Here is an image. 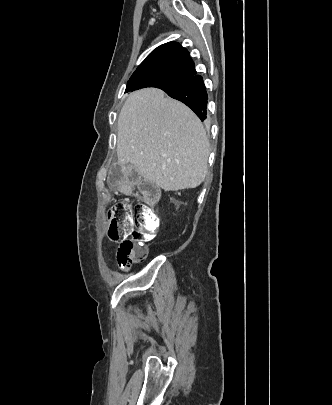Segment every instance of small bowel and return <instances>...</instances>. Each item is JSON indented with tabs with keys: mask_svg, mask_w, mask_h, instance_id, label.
<instances>
[{
	"mask_svg": "<svg viewBox=\"0 0 332 405\" xmlns=\"http://www.w3.org/2000/svg\"><path fill=\"white\" fill-rule=\"evenodd\" d=\"M111 172H106L105 178L109 186H142L141 172H130L124 162H113Z\"/></svg>",
	"mask_w": 332,
	"mask_h": 405,
	"instance_id": "small-bowel-1",
	"label": "small bowel"
}]
</instances>
